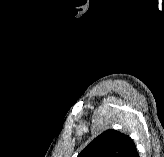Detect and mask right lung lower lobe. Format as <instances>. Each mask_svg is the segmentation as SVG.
Instances as JSON below:
<instances>
[{"label": "right lung lower lobe", "mask_w": 164, "mask_h": 157, "mask_svg": "<svg viewBox=\"0 0 164 157\" xmlns=\"http://www.w3.org/2000/svg\"><path fill=\"white\" fill-rule=\"evenodd\" d=\"M132 157H139V154H138V152H137V149L134 151Z\"/></svg>", "instance_id": "right-lung-lower-lobe-1"}]
</instances>
